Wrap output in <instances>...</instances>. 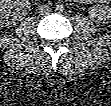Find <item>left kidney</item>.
Segmentation results:
<instances>
[{"instance_id":"obj_1","label":"left kidney","mask_w":111,"mask_h":106,"mask_svg":"<svg viewBox=\"0 0 111 106\" xmlns=\"http://www.w3.org/2000/svg\"><path fill=\"white\" fill-rule=\"evenodd\" d=\"M92 16L97 18L98 21H106L111 17V11L109 9L104 10L103 7L96 6L92 9Z\"/></svg>"}]
</instances>
